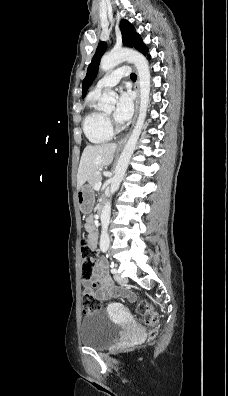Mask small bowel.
I'll use <instances>...</instances> for the list:
<instances>
[{
  "label": "small bowel",
  "instance_id": "small-bowel-1",
  "mask_svg": "<svg viewBox=\"0 0 228 396\" xmlns=\"http://www.w3.org/2000/svg\"><path fill=\"white\" fill-rule=\"evenodd\" d=\"M89 232V247L92 251L97 249L98 234L93 226V219L89 217L86 224ZM83 287L85 293H94L100 300L107 301L111 298L123 295L131 300L134 299V295L128 291H120L116 289L109 276L103 269V264L99 263L97 271L95 272L91 280H83Z\"/></svg>",
  "mask_w": 228,
  "mask_h": 396
}]
</instances>
